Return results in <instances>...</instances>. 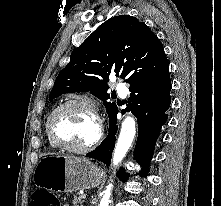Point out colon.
<instances>
[{"label":"colon","mask_w":221,"mask_h":206,"mask_svg":"<svg viewBox=\"0 0 221 206\" xmlns=\"http://www.w3.org/2000/svg\"><path fill=\"white\" fill-rule=\"evenodd\" d=\"M30 206H62L59 200L44 189L36 190L30 200Z\"/></svg>","instance_id":"1"}]
</instances>
